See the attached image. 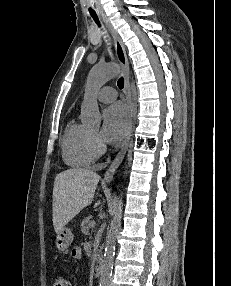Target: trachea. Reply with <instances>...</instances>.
Wrapping results in <instances>:
<instances>
[{
    "label": "trachea",
    "mask_w": 231,
    "mask_h": 286,
    "mask_svg": "<svg viewBox=\"0 0 231 286\" xmlns=\"http://www.w3.org/2000/svg\"><path fill=\"white\" fill-rule=\"evenodd\" d=\"M92 18L94 19V21L96 22V24L101 27V24H100V21L98 19V16L96 14H91ZM117 85L119 87V89H123L124 87V79L123 77H121L118 82H117Z\"/></svg>",
    "instance_id": "obj_1"
}]
</instances>
